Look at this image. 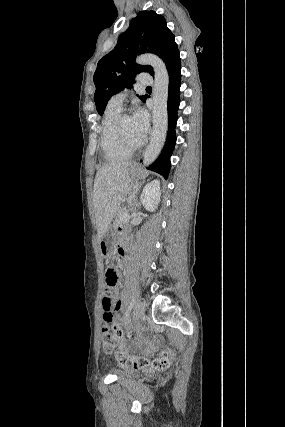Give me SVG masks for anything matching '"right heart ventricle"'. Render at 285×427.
I'll list each match as a JSON object with an SVG mask.
<instances>
[{"instance_id": "e07e8e85", "label": "right heart ventricle", "mask_w": 285, "mask_h": 427, "mask_svg": "<svg viewBox=\"0 0 285 427\" xmlns=\"http://www.w3.org/2000/svg\"><path fill=\"white\" fill-rule=\"evenodd\" d=\"M120 113V107L109 103L102 119L100 146L104 157L110 162L128 160L133 153L121 144L115 130L116 120Z\"/></svg>"}]
</instances>
